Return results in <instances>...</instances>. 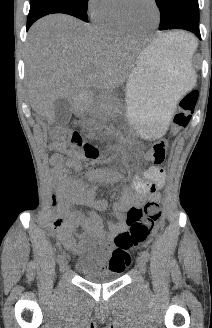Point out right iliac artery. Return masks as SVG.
I'll return each instance as SVG.
<instances>
[{"label":"right iliac artery","mask_w":212,"mask_h":328,"mask_svg":"<svg viewBox=\"0 0 212 328\" xmlns=\"http://www.w3.org/2000/svg\"><path fill=\"white\" fill-rule=\"evenodd\" d=\"M63 259H64V257H63V255H62V253H59V254L57 255V262L60 264V263L63 261Z\"/></svg>","instance_id":"1"}]
</instances>
